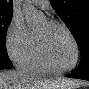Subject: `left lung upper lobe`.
<instances>
[{
	"instance_id": "left-lung-upper-lobe-1",
	"label": "left lung upper lobe",
	"mask_w": 89,
	"mask_h": 89,
	"mask_svg": "<svg viewBox=\"0 0 89 89\" xmlns=\"http://www.w3.org/2000/svg\"><path fill=\"white\" fill-rule=\"evenodd\" d=\"M73 34L81 54L89 52V0H50Z\"/></svg>"
}]
</instances>
